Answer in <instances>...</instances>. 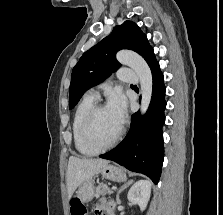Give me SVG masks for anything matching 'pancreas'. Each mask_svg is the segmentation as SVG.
Returning <instances> with one entry per match:
<instances>
[{"label":"pancreas","instance_id":"cf45deb5","mask_svg":"<svg viewBox=\"0 0 223 215\" xmlns=\"http://www.w3.org/2000/svg\"><path fill=\"white\" fill-rule=\"evenodd\" d=\"M97 187L99 189L97 190V193L95 195L96 197H99V195H106V193H112L107 184L99 183Z\"/></svg>","mask_w":223,"mask_h":215}]
</instances>
